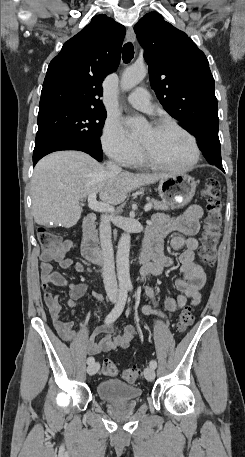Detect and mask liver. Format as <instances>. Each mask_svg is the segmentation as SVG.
<instances>
[{"label": "liver", "instance_id": "6515ba94", "mask_svg": "<svg viewBox=\"0 0 245 457\" xmlns=\"http://www.w3.org/2000/svg\"><path fill=\"white\" fill-rule=\"evenodd\" d=\"M168 174H109L106 166L81 150H58L37 162L31 178L32 212L37 224L73 226L79 220L80 198L99 192L103 202L120 204L128 192L163 180Z\"/></svg>", "mask_w": 245, "mask_h": 457}]
</instances>
